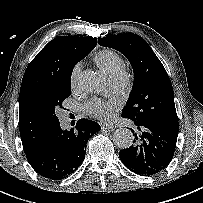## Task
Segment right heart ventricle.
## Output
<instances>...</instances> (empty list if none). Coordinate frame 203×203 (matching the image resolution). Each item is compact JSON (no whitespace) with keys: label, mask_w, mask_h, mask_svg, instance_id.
Here are the masks:
<instances>
[{"label":"right heart ventricle","mask_w":203,"mask_h":203,"mask_svg":"<svg viewBox=\"0 0 203 203\" xmlns=\"http://www.w3.org/2000/svg\"><path fill=\"white\" fill-rule=\"evenodd\" d=\"M94 62L107 75L119 69H124L122 57L112 49H102L96 52Z\"/></svg>","instance_id":"obj_1"}]
</instances>
